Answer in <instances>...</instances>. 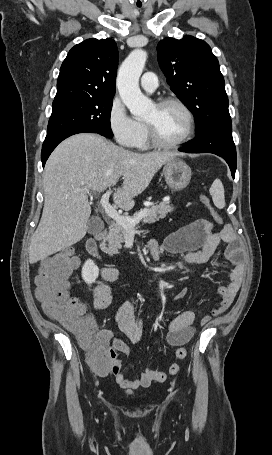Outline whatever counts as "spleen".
<instances>
[{
	"label": "spleen",
	"mask_w": 272,
	"mask_h": 455,
	"mask_svg": "<svg viewBox=\"0 0 272 455\" xmlns=\"http://www.w3.org/2000/svg\"><path fill=\"white\" fill-rule=\"evenodd\" d=\"M210 194L214 205L223 209L225 207V195H224V186L220 179H215L213 184L210 187Z\"/></svg>",
	"instance_id": "3e777b00"
}]
</instances>
